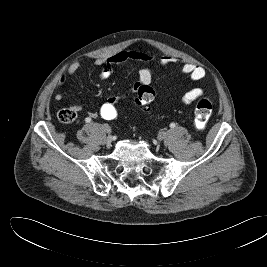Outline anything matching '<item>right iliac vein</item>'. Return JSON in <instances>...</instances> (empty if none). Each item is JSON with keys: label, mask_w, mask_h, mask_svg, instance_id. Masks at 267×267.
Instances as JSON below:
<instances>
[{"label": "right iliac vein", "mask_w": 267, "mask_h": 267, "mask_svg": "<svg viewBox=\"0 0 267 267\" xmlns=\"http://www.w3.org/2000/svg\"><path fill=\"white\" fill-rule=\"evenodd\" d=\"M102 128L104 129V131L106 133H110V127L108 125H103ZM111 145V136H108L107 137V146H110Z\"/></svg>", "instance_id": "obj_1"}]
</instances>
